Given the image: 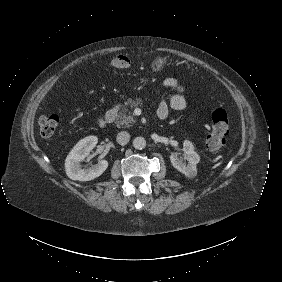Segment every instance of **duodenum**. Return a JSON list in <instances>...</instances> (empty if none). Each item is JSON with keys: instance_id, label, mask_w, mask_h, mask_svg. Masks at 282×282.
I'll return each instance as SVG.
<instances>
[{"instance_id": "410a0bca", "label": "duodenum", "mask_w": 282, "mask_h": 282, "mask_svg": "<svg viewBox=\"0 0 282 282\" xmlns=\"http://www.w3.org/2000/svg\"><path fill=\"white\" fill-rule=\"evenodd\" d=\"M118 111H119V107L117 105L110 108L107 111V113L105 114V116L102 120V124L103 125H109V124L113 123L114 120L116 119L117 115H118Z\"/></svg>"}]
</instances>
